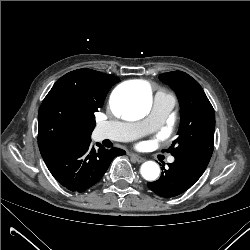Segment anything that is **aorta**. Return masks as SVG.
Returning a JSON list of instances; mask_svg holds the SVG:
<instances>
[{
  "instance_id": "762f6f07",
  "label": "aorta",
  "mask_w": 250,
  "mask_h": 250,
  "mask_svg": "<svg viewBox=\"0 0 250 250\" xmlns=\"http://www.w3.org/2000/svg\"><path fill=\"white\" fill-rule=\"evenodd\" d=\"M114 112L127 120L142 119L152 105L150 87L146 85H128L117 88L111 99ZM141 175L148 181L157 179L160 168L157 163L147 161L141 166Z\"/></svg>"
}]
</instances>
